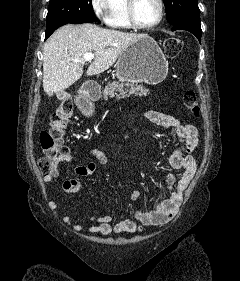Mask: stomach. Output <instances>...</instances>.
Segmentation results:
<instances>
[{
  "label": "stomach",
  "instance_id": "1",
  "mask_svg": "<svg viewBox=\"0 0 240 281\" xmlns=\"http://www.w3.org/2000/svg\"><path fill=\"white\" fill-rule=\"evenodd\" d=\"M168 73V62L150 36L139 39L126 48L116 63V76L120 81L158 84Z\"/></svg>",
  "mask_w": 240,
  "mask_h": 281
}]
</instances>
